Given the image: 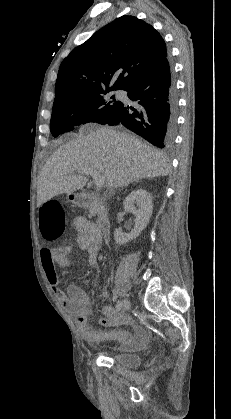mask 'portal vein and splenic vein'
<instances>
[{"label":"portal vein and splenic vein","mask_w":231,"mask_h":419,"mask_svg":"<svg viewBox=\"0 0 231 419\" xmlns=\"http://www.w3.org/2000/svg\"><path fill=\"white\" fill-rule=\"evenodd\" d=\"M78 174H88L93 177V180L95 182V185L100 188L104 185L105 178L104 176L100 175L96 170L94 169H82L78 171Z\"/></svg>","instance_id":"portal-vein-and-splenic-vein-1"}]
</instances>
